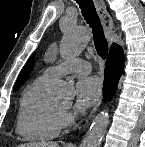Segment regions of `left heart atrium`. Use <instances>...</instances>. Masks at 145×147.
Returning <instances> with one entry per match:
<instances>
[{
    "mask_svg": "<svg viewBox=\"0 0 145 147\" xmlns=\"http://www.w3.org/2000/svg\"><path fill=\"white\" fill-rule=\"evenodd\" d=\"M102 84L97 77H84L76 86V104L79 111L91 107L100 97Z\"/></svg>",
    "mask_w": 145,
    "mask_h": 147,
    "instance_id": "left-heart-atrium-1",
    "label": "left heart atrium"
}]
</instances>
